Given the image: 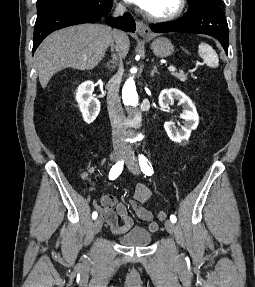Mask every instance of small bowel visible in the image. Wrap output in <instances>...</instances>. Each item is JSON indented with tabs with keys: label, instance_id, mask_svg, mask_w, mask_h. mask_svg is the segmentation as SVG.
I'll return each instance as SVG.
<instances>
[{
	"label": "small bowel",
	"instance_id": "small-bowel-1",
	"mask_svg": "<svg viewBox=\"0 0 255 287\" xmlns=\"http://www.w3.org/2000/svg\"><path fill=\"white\" fill-rule=\"evenodd\" d=\"M152 196L148 187L139 184L134 190L133 199L127 204L118 202L115 197L105 195L101 199V206L98 207L100 215L110 227L111 232L116 236H121L132 227L133 222L128 215V206L134 211L135 215L142 221L148 223V229L155 232L158 224L154 220L153 213L142 204L146 203ZM121 220V222H119Z\"/></svg>",
	"mask_w": 255,
	"mask_h": 287
}]
</instances>
